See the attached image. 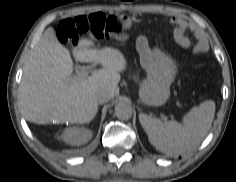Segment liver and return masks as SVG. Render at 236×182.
Instances as JSON below:
<instances>
[{
  "label": "liver",
  "mask_w": 236,
  "mask_h": 182,
  "mask_svg": "<svg viewBox=\"0 0 236 182\" xmlns=\"http://www.w3.org/2000/svg\"><path fill=\"white\" fill-rule=\"evenodd\" d=\"M75 60L100 64L103 68L89 77H72L73 61L53 28L43 33L23 69L19 102L26 120L49 124L52 120L90 122L98 112L96 94L107 89L112 97L118 90L120 72L127 61L118 49L90 48L83 40L72 49Z\"/></svg>",
  "instance_id": "1"
}]
</instances>
